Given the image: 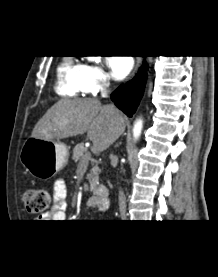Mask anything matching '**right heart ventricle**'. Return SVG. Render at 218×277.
Returning a JSON list of instances; mask_svg holds the SVG:
<instances>
[{
    "label": "right heart ventricle",
    "mask_w": 218,
    "mask_h": 277,
    "mask_svg": "<svg viewBox=\"0 0 218 277\" xmlns=\"http://www.w3.org/2000/svg\"><path fill=\"white\" fill-rule=\"evenodd\" d=\"M82 73L83 64L65 58L57 69L56 93L62 97H77L83 93Z\"/></svg>",
    "instance_id": "1"
}]
</instances>
